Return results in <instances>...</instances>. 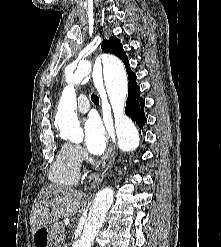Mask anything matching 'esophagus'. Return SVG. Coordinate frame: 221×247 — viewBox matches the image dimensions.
<instances>
[{"instance_id": "obj_1", "label": "esophagus", "mask_w": 221, "mask_h": 247, "mask_svg": "<svg viewBox=\"0 0 221 247\" xmlns=\"http://www.w3.org/2000/svg\"><path fill=\"white\" fill-rule=\"evenodd\" d=\"M105 107H106V102L103 100L104 120H106V117H107V111H106ZM109 153H110V157H109L108 164L102 169V171L99 173V175L95 178V180L93 181V183L91 185V188L98 186L102 182V180L105 178L108 171L113 166L114 161H115V148H114L113 144H111V146H110Z\"/></svg>"}]
</instances>
